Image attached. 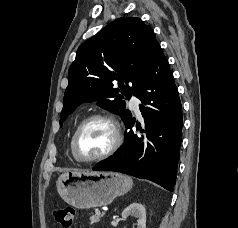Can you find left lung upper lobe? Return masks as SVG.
<instances>
[{
    "instance_id": "1",
    "label": "left lung upper lobe",
    "mask_w": 238,
    "mask_h": 228,
    "mask_svg": "<svg viewBox=\"0 0 238 228\" xmlns=\"http://www.w3.org/2000/svg\"><path fill=\"white\" fill-rule=\"evenodd\" d=\"M159 48L152 28L135 17L118 18L85 41L68 71L60 125L78 105L96 100L125 122L131 112L124 100L135 95Z\"/></svg>"
}]
</instances>
